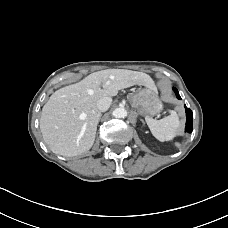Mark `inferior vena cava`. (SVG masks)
<instances>
[{"mask_svg": "<svg viewBox=\"0 0 228 228\" xmlns=\"http://www.w3.org/2000/svg\"><path fill=\"white\" fill-rule=\"evenodd\" d=\"M111 103H112V99L110 97L101 98L97 102V109L100 112H104V111L108 110V108L110 107Z\"/></svg>", "mask_w": 228, "mask_h": 228, "instance_id": "602c4592", "label": "inferior vena cava"}]
</instances>
